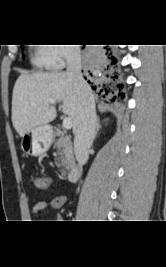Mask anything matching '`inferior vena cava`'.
<instances>
[{"label":"inferior vena cava","mask_w":166,"mask_h":267,"mask_svg":"<svg viewBox=\"0 0 166 267\" xmlns=\"http://www.w3.org/2000/svg\"><path fill=\"white\" fill-rule=\"evenodd\" d=\"M66 62V75L82 94L79 124L74 138V152L78 163L84 165L88 160V151L93 143L96 131L94 97L81 74L80 48H70L66 55Z\"/></svg>","instance_id":"602c4592"}]
</instances>
